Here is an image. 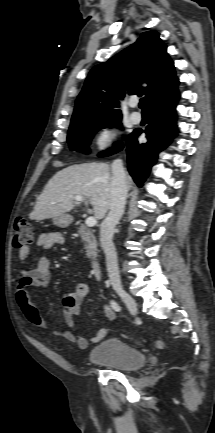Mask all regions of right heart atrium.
<instances>
[{"instance_id":"1","label":"right heart atrium","mask_w":215,"mask_h":433,"mask_svg":"<svg viewBox=\"0 0 215 433\" xmlns=\"http://www.w3.org/2000/svg\"><path fill=\"white\" fill-rule=\"evenodd\" d=\"M112 139L113 131L109 128H103L97 132L94 143L99 150H103L109 146Z\"/></svg>"}]
</instances>
